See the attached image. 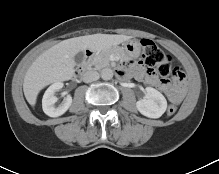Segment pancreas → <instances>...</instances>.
Here are the masks:
<instances>
[{
	"label": "pancreas",
	"instance_id": "pancreas-1",
	"mask_svg": "<svg viewBox=\"0 0 219 174\" xmlns=\"http://www.w3.org/2000/svg\"><path fill=\"white\" fill-rule=\"evenodd\" d=\"M118 54L119 56L123 55V52L119 51L117 52L116 50L110 49L107 51H103L97 55H95L94 57L90 58L87 61V64L89 67L94 66L95 69L99 70L103 67L109 66L110 64V60H109V56L111 54Z\"/></svg>",
	"mask_w": 219,
	"mask_h": 174
}]
</instances>
